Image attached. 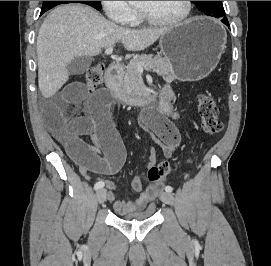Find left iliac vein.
<instances>
[{"label":"left iliac vein","mask_w":271,"mask_h":266,"mask_svg":"<svg viewBox=\"0 0 271 266\" xmlns=\"http://www.w3.org/2000/svg\"><path fill=\"white\" fill-rule=\"evenodd\" d=\"M160 199L164 203L171 205V206H174V197L171 193H169V192L162 193Z\"/></svg>","instance_id":"1"}]
</instances>
